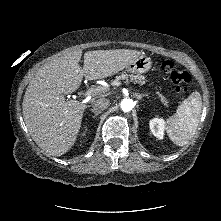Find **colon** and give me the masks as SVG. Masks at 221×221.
Returning <instances> with one entry per match:
<instances>
[{
    "instance_id": "5ec220e1",
    "label": "colon",
    "mask_w": 221,
    "mask_h": 221,
    "mask_svg": "<svg viewBox=\"0 0 221 221\" xmlns=\"http://www.w3.org/2000/svg\"><path fill=\"white\" fill-rule=\"evenodd\" d=\"M159 67L164 73L169 75L177 94H186L188 92V84L191 77L186 71L176 68L174 63L170 60L160 61Z\"/></svg>"
}]
</instances>
